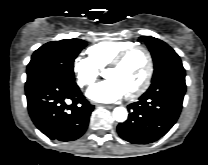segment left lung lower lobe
Returning <instances> with one entry per match:
<instances>
[{"mask_svg": "<svg viewBox=\"0 0 208 165\" xmlns=\"http://www.w3.org/2000/svg\"><path fill=\"white\" fill-rule=\"evenodd\" d=\"M185 92V70L170 71L153 80L139 100L128 105L129 117L118 125V134L133 144L158 140L176 123Z\"/></svg>", "mask_w": 208, "mask_h": 165, "instance_id": "0a47b994", "label": "left lung lower lobe"}]
</instances>
